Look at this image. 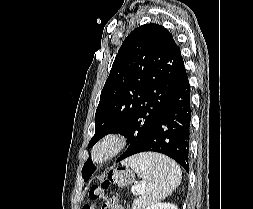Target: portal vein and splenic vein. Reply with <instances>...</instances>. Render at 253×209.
<instances>
[{
  "label": "portal vein and splenic vein",
  "instance_id": "1",
  "mask_svg": "<svg viewBox=\"0 0 253 209\" xmlns=\"http://www.w3.org/2000/svg\"><path fill=\"white\" fill-rule=\"evenodd\" d=\"M133 192H136L137 194H142L144 192V190L140 187H135V189L133 190Z\"/></svg>",
  "mask_w": 253,
  "mask_h": 209
}]
</instances>
